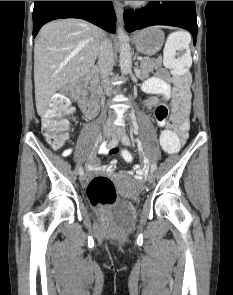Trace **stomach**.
Listing matches in <instances>:
<instances>
[{"label":"stomach","instance_id":"0dacf381","mask_svg":"<svg viewBox=\"0 0 233 295\" xmlns=\"http://www.w3.org/2000/svg\"><path fill=\"white\" fill-rule=\"evenodd\" d=\"M164 37L163 31L153 26L136 32L133 42L138 52L152 56L162 48Z\"/></svg>","mask_w":233,"mask_h":295}]
</instances>
